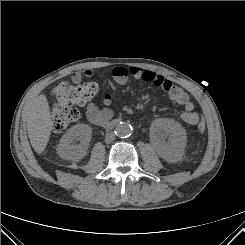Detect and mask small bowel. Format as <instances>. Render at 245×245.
<instances>
[{
  "mask_svg": "<svg viewBox=\"0 0 245 245\" xmlns=\"http://www.w3.org/2000/svg\"><path fill=\"white\" fill-rule=\"evenodd\" d=\"M94 71L86 69L84 71L75 72L72 75L74 83H80L84 76H92ZM112 77L116 83L125 85L130 79L134 81H145L153 83L162 88L169 96V98L183 107L181 112V119L189 124L196 125L200 120V114L195 110L194 104L190 100L189 95L180 87L175 85L171 80L151 70H145L140 67L132 66L130 68L117 66L112 69ZM103 103L105 107L100 108L95 103L89 102L85 107V114L87 119L96 124L103 126L104 123L110 121L113 116V111L109 108L112 103L110 94L103 96Z\"/></svg>",
  "mask_w": 245,
  "mask_h": 245,
  "instance_id": "small-bowel-1",
  "label": "small bowel"
}]
</instances>
